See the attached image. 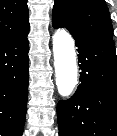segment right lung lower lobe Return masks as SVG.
<instances>
[{
	"label": "right lung lower lobe",
	"instance_id": "1",
	"mask_svg": "<svg viewBox=\"0 0 117 136\" xmlns=\"http://www.w3.org/2000/svg\"><path fill=\"white\" fill-rule=\"evenodd\" d=\"M29 27L0 40V136H22L29 79Z\"/></svg>",
	"mask_w": 117,
	"mask_h": 136
}]
</instances>
